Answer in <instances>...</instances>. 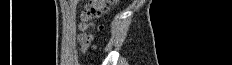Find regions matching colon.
Returning <instances> with one entry per match:
<instances>
[{"instance_id":"colon-1","label":"colon","mask_w":232,"mask_h":65,"mask_svg":"<svg viewBox=\"0 0 232 65\" xmlns=\"http://www.w3.org/2000/svg\"><path fill=\"white\" fill-rule=\"evenodd\" d=\"M115 2V0H91L85 9L83 20L85 21V27L92 25L93 21L100 18L102 15L108 12L110 6ZM90 41L92 40V35H88Z\"/></svg>"}]
</instances>
